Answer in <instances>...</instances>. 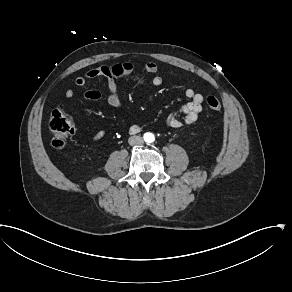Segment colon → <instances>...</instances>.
I'll list each match as a JSON object with an SVG mask.
<instances>
[{"label":"colon","instance_id":"colon-1","mask_svg":"<svg viewBox=\"0 0 292 292\" xmlns=\"http://www.w3.org/2000/svg\"><path fill=\"white\" fill-rule=\"evenodd\" d=\"M205 105L213 112H218L221 108L220 102L215 96H208ZM49 127L52 147L56 150L63 149L73 133L70 114L61 106L55 107L51 112Z\"/></svg>","mask_w":292,"mask_h":292}]
</instances>
